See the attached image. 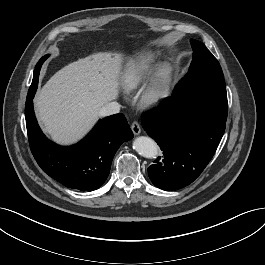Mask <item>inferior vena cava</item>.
<instances>
[{
	"label": "inferior vena cava",
	"mask_w": 265,
	"mask_h": 265,
	"mask_svg": "<svg viewBox=\"0 0 265 265\" xmlns=\"http://www.w3.org/2000/svg\"><path fill=\"white\" fill-rule=\"evenodd\" d=\"M120 107H121V105L116 101L109 102L100 109L99 115L100 116H109V115L119 113Z\"/></svg>",
	"instance_id": "inferior-vena-cava-1"
}]
</instances>
